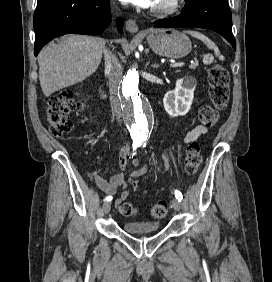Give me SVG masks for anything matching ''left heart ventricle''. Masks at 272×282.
Here are the masks:
<instances>
[{
  "instance_id": "left-heart-ventricle-1",
  "label": "left heart ventricle",
  "mask_w": 272,
  "mask_h": 282,
  "mask_svg": "<svg viewBox=\"0 0 272 282\" xmlns=\"http://www.w3.org/2000/svg\"><path fill=\"white\" fill-rule=\"evenodd\" d=\"M174 0H155L153 6L151 8L155 9H163L170 6Z\"/></svg>"
}]
</instances>
